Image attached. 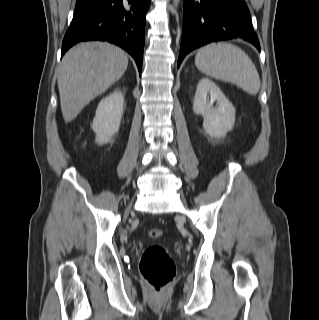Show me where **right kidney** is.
<instances>
[{
	"label": "right kidney",
	"mask_w": 319,
	"mask_h": 320,
	"mask_svg": "<svg viewBox=\"0 0 319 320\" xmlns=\"http://www.w3.org/2000/svg\"><path fill=\"white\" fill-rule=\"evenodd\" d=\"M123 104L124 95L121 91H114L98 104L92 129L99 145L108 143L118 132L123 115Z\"/></svg>",
	"instance_id": "1"
}]
</instances>
